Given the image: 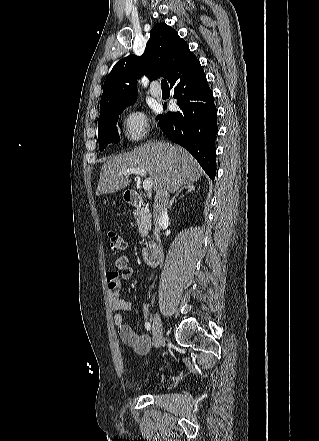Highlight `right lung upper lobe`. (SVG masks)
<instances>
[{"instance_id":"cb5924a9","label":"right lung upper lobe","mask_w":319,"mask_h":441,"mask_svg":"<svg viewBox=\"0 0 319 441\" xmlns=\"http://www.w3.org/2000/svg\"><path fill=\"white\" fill-rule=\"evenodd\" d=\"M197 61L173 28L165 23L156 24L150 31L144 54L121 59L106 77L100 110L133 103L140 75L146 74L149 80L164 77L170 83Z\"/></svg>"}]
</instances>
